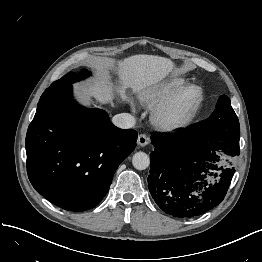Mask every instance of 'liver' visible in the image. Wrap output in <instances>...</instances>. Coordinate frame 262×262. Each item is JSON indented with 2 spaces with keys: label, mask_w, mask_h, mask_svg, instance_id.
Masks as SVG:
<instances>
[{
  "label": "liver",
  "mask_w": 262,
  "mask_h": 262,
  "mask_svg": "<svg viewBox=\"0 0 262 262\" xmlns=\"http://www.w3.org/2000/svg\"><path fill=\"white\" fill-rule=\"evenodd\" d=\"M114 63L117 65L113 67L122 80L123 90L132 88L136 93L158 84L174 68V63L168 58L145 54L133 55L125 58L124 61H113ZM113 88V84L108 83L105 77H101L93 83L82 85L80 90L86 100L95 98L98 102L106 104L112 102ZM123 90L121 91L122 99L128 101Z\"/></svg>",
  "instance_id": "6515ba94"
}]
</instances>
